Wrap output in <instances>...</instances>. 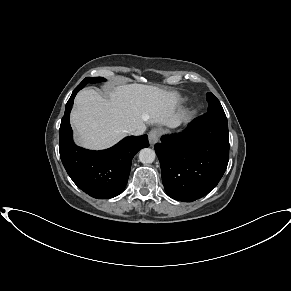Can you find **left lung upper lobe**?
Masks as SVG:
<instances>
[{
	"instance_id": "5c2ea615",
	"label": "left lung upper lobe",
	"mask_w": 291,
	"mask_h": 291,
	"mask_svg": "<svg viewBox=\"0 0 291 291\" xmlns=\"http://www.w3.org/2000/svg\"><path fill=\"white\" fill-rule=\"evenodd\" d=\"M207 102H208V113H224V110L219 102V100L213 95V93L209 92L206 94Z\"/></svg>"
}]
</instances>
